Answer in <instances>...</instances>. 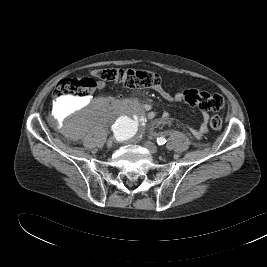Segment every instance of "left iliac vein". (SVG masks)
Here are the masks:
<instances>
[{
	"mask_svg": "<svg viewBox=\"0 0 267 267\" xmlns=\"http://www.w3.org/2000/svg\"><path fill=\"white\" fill-rule=\"evenodd\" d=\"M143 145L150 153L154 154L158 152V147L152 142L147 141Z\"/></svg>",
	"mask_w": 267,
	"mask_h": 267,
	"instance_id": "left-iliac-vein-1",
	"label": "left iliac vein"
}]
</instances>
